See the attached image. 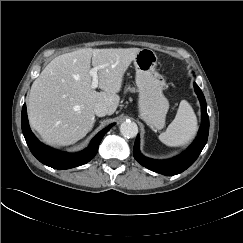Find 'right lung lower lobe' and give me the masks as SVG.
Masks as SVG:
<instances>
[{
  "instance_id": "right-lung-lower-lobe-1",
  "label": "right lung lower lobe",
  "mask_w": 243,
  "mask_h": 243,
  "mask_svg": "<svg viewBox=\"0 0 243 243\" xmlns=\"http://www.w3.org/2000/svg\"><path fill=\"white\" fill-rule=\"evenodd\" d=\"M22 131L32 154L43 164L50 166L54 169H70L89 162L97 153L99 144L103 136L114 125L110 124L108 127L100 131L91 141L89 146L74 154L59 152L48 146H45L32 133L27 118L26 105H23L22 114Z\"/></svg>"
}]
</instances>
